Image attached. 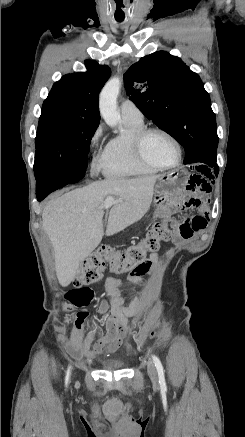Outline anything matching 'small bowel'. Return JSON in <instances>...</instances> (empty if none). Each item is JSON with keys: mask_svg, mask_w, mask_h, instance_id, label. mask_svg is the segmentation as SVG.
<instances>
[{"mask_svg": "<svg viewBox=\"0 0 245 437\" xmlns=\"http://www.w3.org/2000/svg\"><path fill=\"white\" fill-rule=\"evenodd\" d=\"M188 178L185 190L186 192L196 193V195L187 199L184 207L186 210L188 208L196 209L204 204L208 193L211 192L213 188L208 180H215L216 173L211 166H192L188 173ZM177 205V203H172V208H175ZM204 213L187 217L183 221H178V217H173L172 227L174 231V244L179 243L183 239H188L192 237L194 233L200 232L206 228L208 219ZM157 262L158 255L156 253L151 254L146 261V269L129 275L126 278V282L128 284L143 282L144 276L149 273L151 266L155 265ZM119 284L120 280L114 278H108L106 281V286L109 289H115ZM108 311V303L102 302L99 307V313L101 315H107ZM83 322L84 321H80L75 324L78 331L81 329ZM132 329L129 317L124 310L120 307H116L107 319L106 334L98 339L93 348H91L95 335L93 332H89L82 345V350L88 357H93L96 354L106 352H114L122 345L124 337L129 334ZM69 345H80L79 337L76 336Z\"/></svg>", "mask_w": 245, "mask_h": 437, "instance_id": "obj_1", "label": "small bowel"}]
</instances>
